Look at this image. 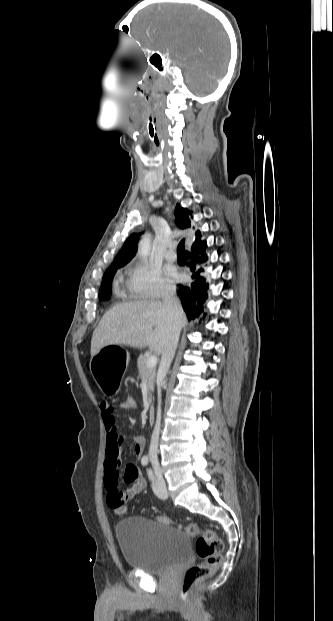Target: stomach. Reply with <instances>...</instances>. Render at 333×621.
Masks as SVG:
<instances>
[{"label": "stomach", "instance_id": "obj_1", "mask_svg": "<svg viewBox=\"0 0 333 621\" xmlns=\"http://www.w3.org/2000/svg\"><path fill=\"white\" fill-rule=\"evenodd\" d=\"M128 352L119 341L106 340L92 355L93 378L102 396H117L122 388Z\"/></svg>", "mask_w": 333, "mask_h": 621}]
</instances>
